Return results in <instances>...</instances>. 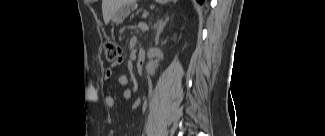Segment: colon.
<instances>
[{
  "instance_id": "obj_1",
  "label": "colon",
  "mask_w": 325,
  "mask_h": 136,
  "mask_svg": "<svg viewBox=\"0 0 325 136\" xmlns=\"http://www.w3.org/2000/svg\"><path fill=\"white\" fill-rule=\"evenodd\" d=\"M105 56L109 61H117L121 59L122 49L115 42H106L104 46Z\"/></svg>"
}]
</instances>
